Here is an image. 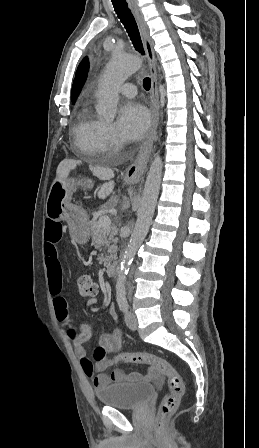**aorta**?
Wrapping results in <instances>:
<instances>
[{"label":"aorta","instance_id":"obj_1","mask_svg":"<svg viewBox=\"0 0 259 448\" xmlns=\"http://www.w3.org/2000/svg\"><path fill=\"white\" fill-rule=\"evenodd\" d=\"M141 65L142 61L138 56L127 54L115 55L107 64L96 92L98 99L97 111L103 119H114L119 100V87ZM162 168V159L159 154H156L146 178L137 221L118 270L116 282L118 294L123 293L125 290L129 268L151 225L161 185Z\"/></svg>","mask_w":259,"mask_h":448}]
</instances>
